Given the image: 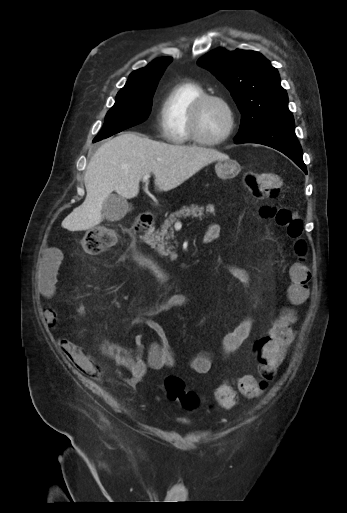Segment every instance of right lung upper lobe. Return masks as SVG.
I'll list each match as a JSON object with an SVG mask.
<instances>
[{"mask_svg": "<svg viewBox=\"0 0 347 513\" xmlns=\"http://www.w3.org/2000/svg\"><path fill=\"white\" fill-rule=\"evenodd\" d=\"M172 61L170 57H162L153 60L144 68L135 70L129 75L124 90H134L147 84L158 82L167 65Z\"/></svg>", "mask_w": 347, "mask_h": 513, "instance_id": "1", "label": "right lung upper lobe"}]
</instances>
